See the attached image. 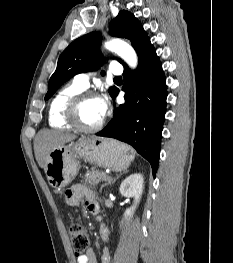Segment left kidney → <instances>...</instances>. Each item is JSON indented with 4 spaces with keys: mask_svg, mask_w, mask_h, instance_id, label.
Here are the masks:
<instances>
[{
    "mask_svg": "<svg viewBox=\"0 0 233 263\" xmlns=\"http://www.w3.org/2000/svg\"><path fill=\"white\" fill-rule=\"evenodd\" d=\"M144 178L141 174H132L130 176H128L125 180H123V182L120 185L119 191L121 193L122 196L130 198L133 197L134 198V203L133 205L128 208L124 215L125 218H130L137 205L140 202L142 193H143V188H144Z\"/></svg>",
    "mask_w": 233,
    "mask_h": 263,
    "instance_id": "1",
    "label": "left kidney"
}]
</instances>
